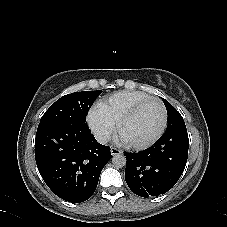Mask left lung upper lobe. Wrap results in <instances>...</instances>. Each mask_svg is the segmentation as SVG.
Here are the masks:
<instances>
[{"mask_svg":"<svg viewBox=\"0 0 227 227\" xmlns=\"http://www.w3.org/2000/svg\"><path fill=\"white\" fill-rule=\"evenodd\" d=\"M168 114V124H175L184 121L180 113L164 98H162Z\"/></svg>","mask_w":227,"mask_h":227,"instance_id":"1","label":"left lung upper lobe"}]
</instances>
